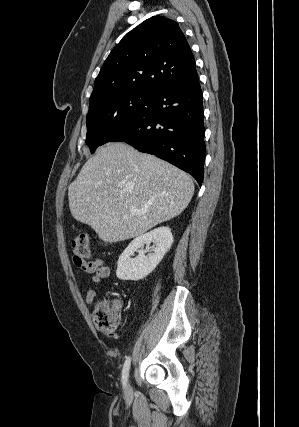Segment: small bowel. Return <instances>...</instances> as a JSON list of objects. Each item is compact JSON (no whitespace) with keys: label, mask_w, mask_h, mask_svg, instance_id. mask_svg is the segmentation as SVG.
<instances>
[{"label":"small bowel","mask_w":299,"mask_h":427,"mask_svg":"<svg viewBox=\"0 0 299 427\" xmlns=\"http://www.w3.org/2000/svg\"><path fill=\"white\" fill-rule=\"evenodd\" d=\"M77 265L85 272L87 280L92 284H98L110 276V268L104 264L101 258H96L94 261ZM96 297V290L90 288L85 295V301L87 304H92L96 300Z\"/></svg>","instance_id":"1"}]
</instances>
